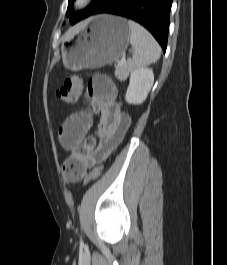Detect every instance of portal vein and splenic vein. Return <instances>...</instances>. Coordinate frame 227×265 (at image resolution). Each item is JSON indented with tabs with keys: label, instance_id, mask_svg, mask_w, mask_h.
Wrapping results in <instances>:
<instances>
[{
	"label": "portal vein and splenic vein",
	"instance_id": "portal-vein-and-splenic-vein-1",
	"mask_svg": "<svg viewBox=\"0 0 227 265\" xmlns=\"http://www.w3.org/2000/svg\"><path fill=\"white\" fill-rule=\"evenodd\" d=\"M125 61H126V56H125V54H124L123 57H122V58L120 59V61L118 62V66H122V65H124Z\"/></svg>",
	"mask_w": 227,
	"mask_h": 265
}]
</instances>
